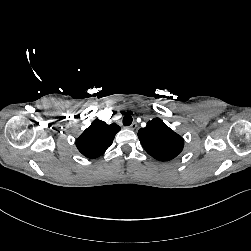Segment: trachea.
I'll return each instance as SVG.
<instances>
[{
    "mask_svg": "<svg viewBox=\"0 0 251 251\" xmlns=\"http://www.w3.org/2000/svg\"><path fill=\"white\" fill-rule=\"evenodd\" d=\"M132 121H133V119H132L131 115H129V114H126V115L123 117V125H124V126H129V125H131V124H132Z\"/></svg>",
    "mask_w": 251,
    "mask_h": 251,
    "instance_id": "obj_1",
    "label": "trachea"
}]
</instances>
